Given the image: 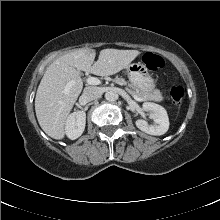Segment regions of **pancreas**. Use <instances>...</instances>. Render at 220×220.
Listing matches in <instances>:
<instances>
[{"instance_id":"cf45deb5","label":"pancreas","mask_w":220,"mask_h":220,"mask_svg":"<svg viewBox=\"0 0 220 220\" xmlns=\"http://www.w3.org/2000/svg\"><path fill=\"white\" fill-rule=\"evenodd\" d=\"M114 82L119 84V85H126V81L123 78H115ZM133 94L137 95L140 98L147 99V100H153L157 102L163 101V96L161 95L160 92H155L151 94L144 93L139 90H130Z\"/></svg>"}]
</instances>
